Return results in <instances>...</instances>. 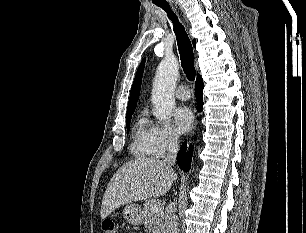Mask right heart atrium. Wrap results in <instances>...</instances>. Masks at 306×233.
<instances>
[{
	"label": "right heart atrium",
	"instance_id": "right-heart-atrium-1",
	"mask_svg": "<svg viewBox=\"0 0 306 233\" xmlns=\"http://www.w3.org/2000/svg\"><path fill=\"white\" fill-rule=\"evenodd\" d=\"M153 155L163 157L179 144L177 133L170 126L155 125L152 127Z\"/></svg>",
	"mask_w": 306,
	"mask_h": 233
}]
</instances>
